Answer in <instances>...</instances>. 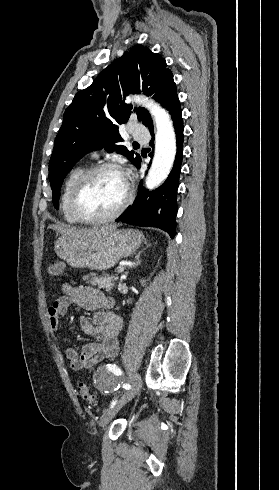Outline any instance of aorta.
I'll return each instance as SVG.
<instances>
[{
  "instance_id": "1",
  "label": "aorta",
  "mask_w": 279,
  "mask_h": 490,
  "mask_svg": "<svg viewBox=\"0 0 279 490\" xmlns=\"http://www.w3.org/2000/svg\"><path fill=\"white\" fill-rule=\"evenodd\" d=\"M142 104L151 113L156 126L155 152L151 167L146 177V187L150 190L157 188L169 175L176 155V135L173 122L157 103L147 98L135 97L127 102Z\"/></svg>"
}]
</instances>
